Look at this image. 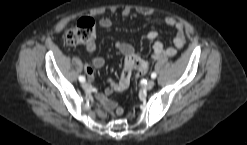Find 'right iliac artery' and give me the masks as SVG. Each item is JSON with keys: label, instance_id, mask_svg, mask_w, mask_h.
<instances>
[{"label": "right iliac artery", "instance_id": "82829eb1", "mask_svg": "<svg viewBox=\"0 0 247 145\" xmlns=\"http://www.w3.org/2000/svg\"><path fill=\"white\" fill-rule=\"evenodd\" d=\"M79 81L80 82H85V77L84 76H79Z\"/></svg>", "mask_w": 247, "mask_h": 145}]
</instances>
